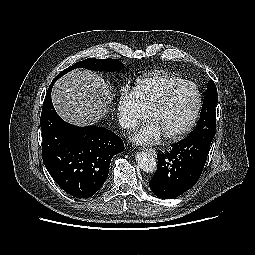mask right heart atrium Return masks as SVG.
<instances>
[{
  "mask_svg": "<svg viewBox=\"0 0 255 255\" xmlns=\"http://www.w3.org/2000/svg\"><path fill=\"white\" fill-rule=\"evenodd\" d=\"M117 117L124 129H133L147 118V112L138 102L133 89L124 86L117 101Z\"/></svg>",
  "mask_w": 255,
  "mask_h": 255,
  "instance_id": "obj_1",
  "label": "right heart atrium"
}]
</instances>
